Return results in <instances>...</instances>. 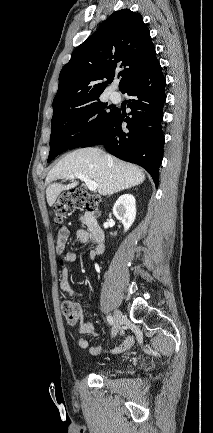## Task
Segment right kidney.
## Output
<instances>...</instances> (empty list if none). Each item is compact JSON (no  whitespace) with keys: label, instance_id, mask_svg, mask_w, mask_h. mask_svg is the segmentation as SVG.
Here are the masks:
<instances>
[{"label":"right kidney","instance_id":"obj_1","mask_svg":"<svg viewBox=\"0 0 213 433\" xmlns=\"http://www.w3.org/2000/svg\"><path fill=\"white\" fill-rule=\"evenodd\" d=\"M113 214L120 220L127 231L136 217L135 198L131 194H124L118 198L113 207Z\"/></svg>","mask_w":213,"mask_h":433}]
</instances>
